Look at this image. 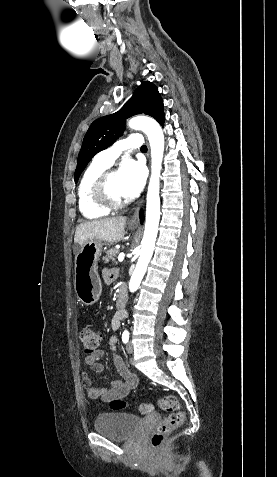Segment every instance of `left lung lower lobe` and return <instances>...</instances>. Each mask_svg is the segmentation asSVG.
<instances>
[{
    "instance_id": "obj_1",
    "label": "left lung lower lobe",
    "mask_w": 277,
    "mask_h": 477,
    "mask_svg": "<svg viewBox=\"0 0 277 477\" xmlns=\"http://www.w3.org/2000/svg\"><path fill=\"white\" fill-rule=\"evenodd\" d=\"M140 219H141V222L143 221V213L141 212L140 213Z\"/></svg>"
}]
</instances>
